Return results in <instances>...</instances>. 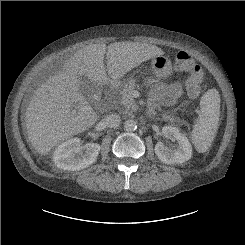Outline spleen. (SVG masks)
I'll return each mask as SVG.
<instances>
[{"instance_id":"spleen-1","label":"spleen","mask_w":245,"mask_h":245,"mask_svg":"<svg viewBox=\"0 0 245 245\" xmlns=\"http://www.w3.org/2000/svg\"><path fill=\"white\" fill-rule=\"evenodd\" d=\"M220 94L216 89L208 90L201 98L200 113L192 130V142L200 153L211 146L219 123Z\"/></svg>"}]
</instances>
